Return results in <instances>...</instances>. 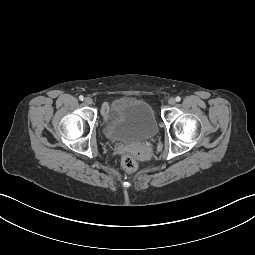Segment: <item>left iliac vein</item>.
Masks as SVG:
<instances>
[{
	"label": "left iliac vein",
	"instance_id": "left-iliac-vein-1",
	"mask_svg": "<svg viewBox=\"0 0 255 255\" xmlns=\"http://www.w3.org/2000/svg\"><path fill=\"white\" fill-rule=\"evenodd\" d=\"M175 103H176L175 98H173V97L169 98V100H168L169 105H174Z\"/></svg>",
	"mask_w": 255,
	"mask_h": 255
}]
</instances>
